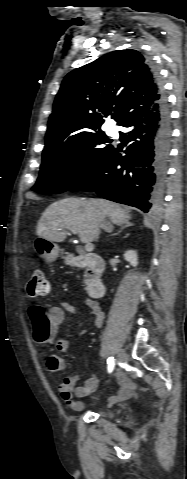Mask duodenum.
Listing matches in <instances>:
<instances>
[{
	"instance_id": "duodenum-1",
	"label": "duodenum",
	"mask_w": 187,
	"mask_h": 479,
	"mask_svg": "<svg viewBox=\"0 0 187 479\" xmlns=\"http://www.w3.org/2000/svg\"><path fill=\"white\" fill-rule=\"evenodd\" d=\"M71 264L75 267L87 270V293L91 298H100L103 296L105 287L100 278L104 269L103 260L96 254L84 253L77 257L70 258Z\"/></svg>"
}]
</instances>
